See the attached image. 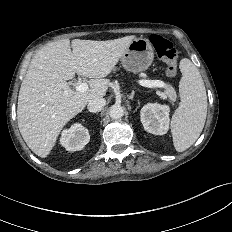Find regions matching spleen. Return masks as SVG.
<instances>
[{
	"instance_id": "1",
	"label": "spleen",
	"mask_w": 232,
	"mask_h": 232,
	"mask_svg": "<svg viewBox=\"0 0 232 232\" xmlns=\"http://www.w3.org/2000/svg\"><path fill=\"white\" fill-rule=\"evenodd\" d=\"M181 101L171 119L173 144L178 152L188 149L200 136L207 116V95L197 67L187 58L179 63Z\"/></svg>"
}]
</instances>
